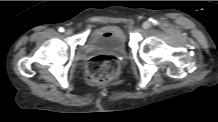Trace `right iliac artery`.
<instances>
[{"label":"right iliac artery","mask_w":218,"mask_h":122,"mask_svg":"<svg viewBox=\"0 0 218 122\" xmlns=\"http://www.w3.org/2000/svg\"><path fill=\"white\" fill-rule=\"evenodd\" d=\"M58 30H59V32H64V28L63 27H60Z\"/></svg>","instance_id":"right-iliac-artery-1"}]
</instances>
